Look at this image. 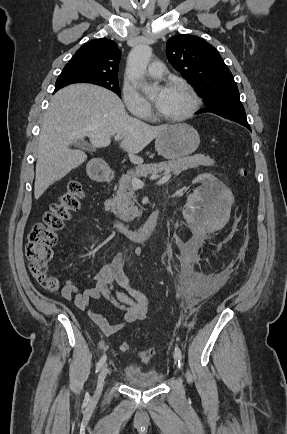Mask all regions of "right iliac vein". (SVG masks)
<instances>
[{
	"instance_id": "1",
	"label": "right iliac vein",
	"mask_w": 287,
	"mask_h": 434,
	"mask_svg": "<svg viewBox=\"0 0 287 434\" xmlns=\"http://www.w3.org/2000/svg\"><path fill=\"white\" fill-rule=\"evenodd\" d=\"M108 372H109V369H108V365L106 364L102 367V369L100 370V372L98 374L97 385H96V389L94 391V398H99V396L102 392L104 381H105V378H106Z\"/></svg>"
}]
</instances>
